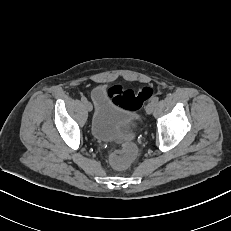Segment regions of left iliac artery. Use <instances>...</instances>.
Wrapping results in <instances>:
<instances>
[{
  "instance_id": "1",
  "label": "left iliac artery",
  "mask_w": 231,
  "mask_h": 231,
  "mask_svg": "<svg viewBox=\"0 0 231 231\" xmlns=\"http://www.w3.org/2000/svg\"><path fill=\"white\" fill-rule=\"evenodd\" d=\"M152 101L155 102V103H157L159 101V97H153Z\"/></svg>"
}]
</instances>
